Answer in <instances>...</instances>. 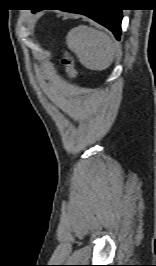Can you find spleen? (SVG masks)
<instances>
[{
	"instance_id": "spleen-1",
	"label": "spleen",
	"mask_w": 156,
	"mask_h": 266,
	"mask_svg": "<svg viewBox=\"0 0 156 266\" xmlns=\"http://www.w3.org/2000/svg\"><path fill=\"white\" fill-rule=\"evenodd\" d=\"M66 42L80 63L89 70H105L114 60L115 43L106 32L80 25L70 30Z\"/></svg>"
}]
</instances>
